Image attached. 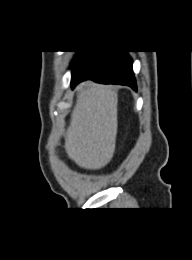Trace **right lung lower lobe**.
<instances>
[{
	"label": "right lung lower lobe",
	"instance_id": "98d812e1",
	"mask_svg": "<svg viewBox=\"0 0 192 260\" xmlns=\"http://www.w3.org/2000/svg\"><path fill=\"white\" fill-rule=\"evenodd\" d=\"M71 86L91 79L103 84H120L136 90L132 59L125 51H86L71 65Z\"/></svg>",
	"mask_w": 192,
	"mask_h": 260
}]
</instances>
